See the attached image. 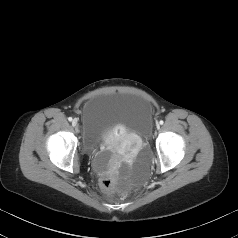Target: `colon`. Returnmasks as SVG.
<instances>
[{
	"label": "colon",
	"instance_id": "5ec220e1",
	"mask_svg": "<svg viewBox=\"0 0 238 238\" xmlns=\"http://www.w3.org/2000/svg\"><path fill=\"white\" fill-rule=\"evenodd\" d=\"M100 185L105 191L111 192L116 187V180L111 176L102 177L100 179Z\"/></svg>",
	"mask_w": 238,
	"mask_h": 238
}]
</instances>
